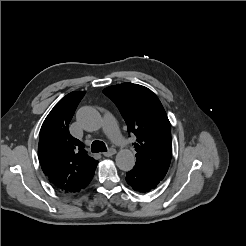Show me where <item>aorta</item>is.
<instances>
[{
    "instance_id": "1",
    "label": "aorta",
    "mask_w": 246,
    "mask_h": 246,
    "mask_svg": "<svg viewBox=\"0 0 246 246\" xmlns=\"http://www.w3.org/2000/svg\"><path fill=\"white\" fill-rule=\"evenodd\" d=\"M77 121L83 129L87 131H96L101 126V116L99 112L92 107H83L77 112ZM135 155L128 149L120 150L116 155V165L120 170L129 171L135 165Z\"/></svg>"
}]
</instances>
